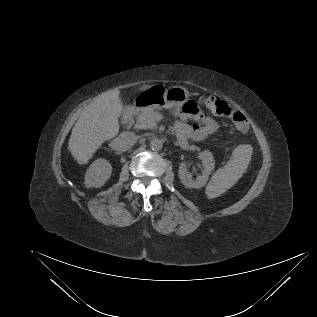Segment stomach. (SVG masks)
<instances>
[{
    "label": "stomach",
    "instance_id": "1",
    "mask_svg": "<svg viewBox=\"0 0 317 317\" xmlns=\"http://www.w3.org/2000/svg\"><path fill=\"white\" fill-rule=\"evenodd\" d=\"M189 92L182 86H173L168 89L160 85L151 86L142 90L135 98L136 105L141 108H176L188 101Z\"/></svg>",
    "mask_w": 317,
    "mask_h": 317
}]
</instances>
